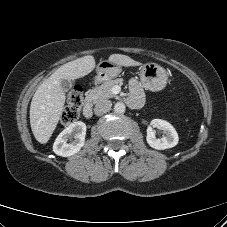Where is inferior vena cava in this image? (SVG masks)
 Masks as SVG:
<instances>
[{
  "label": "inferior vena cava",
  "instance_id": "602c4592",
  "mask_svg": "<svg viewBox=\"0 0 227 227\" xmlns=\"http://www.w3.org/2000/svg\"><path fill=\"white\" fill-rule=\"evenodd\" d=\"M112 102L103 100L95 105L94 112L97 116L103 115L111 110Z\"/></svg>",
  "mask_w": 227,
  "mask_h": 227
}]
</instances>
